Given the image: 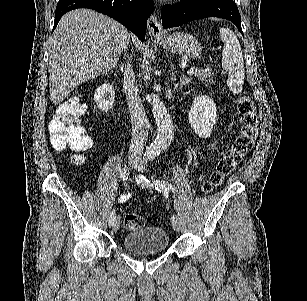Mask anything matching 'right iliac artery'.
Instances as JSON below:
<instances>
[{"instance_id":"obj_1","label":"right iliac artery","mask_w":307,"mask_h":301,"mask_svg":"<svg viewBox=\"0 0 307 301\" xmlns=\"http://www.w3.org/2000/svg\"><path fill=\"white\" fill-rule=\"evenodd\" d=\"M120 178L124 180H127L128 178V173H127V170L125 168H122L120 170ZM114 221H115V210H113L110 214V217H109V226H113L114 224Z\"/></svg>"}]
</instances>
